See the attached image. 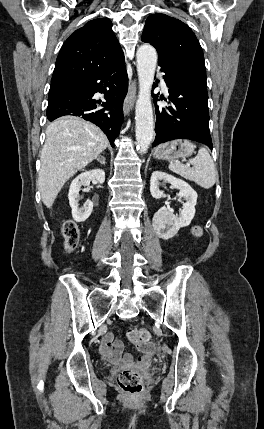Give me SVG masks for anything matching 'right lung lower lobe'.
<instances>
[{"label":"right lung lower lobe","instance_id":"obj_1","mask_svg":"<svg viewBox=\"0 0 264 429\" xmlns=\"http://www.w3.org/2000/svg\"><path fill=\"white\" fill-rule=\"evenodd\" d=\"M127 90L128 76L122 56L90 78L49 99L47 118L53 121L65 115L82 117L100 127L114 147L123 122L122 105ZM96 92L104 93L106 102L93 99Z\"/></svg>","mask_w":264,"mask_h":429}]
</instances>
